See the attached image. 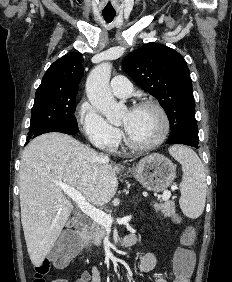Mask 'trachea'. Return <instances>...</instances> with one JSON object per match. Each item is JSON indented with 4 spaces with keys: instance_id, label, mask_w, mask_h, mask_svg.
I'll list each match as a JSON object with an SVG mask.
<instances>
[{
    "instance_id": "3493384b",
    "label": "trachea",
    "mask_w": 232,
    "mask_h": 282,
    "mask_svg": "<svg viewBox=\"0 0 232 282\" xmlns=\"http://www.w3.org/2000/svg\"><path fill=\"white\" fill-rule=\"evenodd\" d=\"M102 14H103V17H104V19L107 23H110L111 21H113L115 15H116V13H110V12L102 13Z\"/></svg>"
}]
</instances>
